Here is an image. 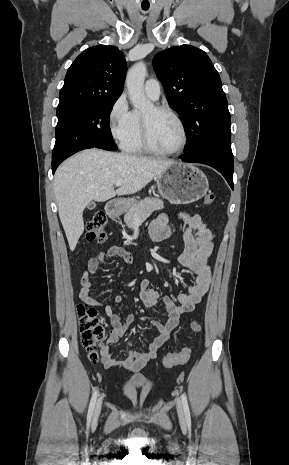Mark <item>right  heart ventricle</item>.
Here are the masks:
<instances>
[{
	"label": "right heart ventricle",
	"mask_w": 289,
	"mask_h": 465,
	"mask_svg": "<svg viewBox=\"0 0 289 465\" xmlns=\"http://www.w3.org/2000/svg\"><path fill=\"white\" fill-rule=\"evenodd\" d=\"M135 116V128L128 138V140L122 145L123 149L132 154H141L146 150L142 143L141 137V114L138 111H133Z\"/></svg>",
	"instance_id": "right-heart-ventricle-1"
}]
</instances>
